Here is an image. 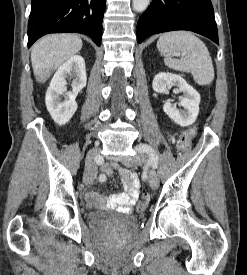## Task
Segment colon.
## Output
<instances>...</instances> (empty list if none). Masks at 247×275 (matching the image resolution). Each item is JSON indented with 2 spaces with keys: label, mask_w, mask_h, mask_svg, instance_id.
Returning <instances> with one entry per match:
<instances>
[{
  "label": "colon",
  "mask_w": 247,
  "mask_h": 275,
  "mask_svg": "<svg viewBox=\"0 0 247 275\" xmlns=\"http://www.w3.org/2000/svg\"><path fill=\"white\" fill-rule=\"evenodd\" d=\"M197 129L190 128L184 131L177 142V147L181 152L189 151L191 148L192 139L196 136ZM149 201V194L147 191L143 190L140 194V203L138 205V210H143L147 206Z\"/></svg>",
  "instance_id": "colon-1"
}]
</instances>
